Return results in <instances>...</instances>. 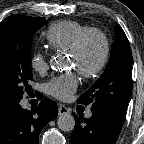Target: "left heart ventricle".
<instances>
[{
  "label": "left heart ventricle",
  "mask_w": 144,
  "mask_h": 144,
  "mask_svg": "<svg viewBox=\"0 0 144 144\" xmlns=\"http://www.w3.org/2000/svg\"><path fill=\"white\" fill-rule=\"evenodd\" d=\"M102 55V43L97 37H92L86 43L84 53L80 59L70 57V64L76 68L81 65L83 68L89 69L93 67Z\"/></svg>",
  "instance_id": "b2bd125f"
}]
</instances>
